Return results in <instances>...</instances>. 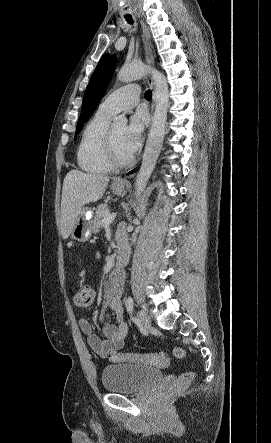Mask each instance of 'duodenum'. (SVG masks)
I'll return each mask as SVG.
<instances>
[{
  "instance_id": "duodenum-1",
  "label": "duodenum",
  "mask_w": 271,
  "mask_h": 443,
  "mask_svg": "<svg viewBox=\"0 0 271 443\" xmlns=\"http://www.w3.org/2000/svg\"><path fill=\"white\" fill-rule=\"evenodd\" d=\"M125 262H126V254L124 252H121L119 254V257H118V260H117V268L115 270L116 273L120 272L119 270L123 267Z\"/></svg>"
}]
</instances>
